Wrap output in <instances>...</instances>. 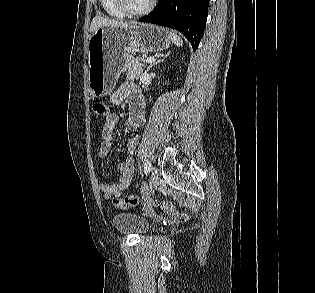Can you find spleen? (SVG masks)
Instances as JSON below:
<instances>
[{
	"label": "spleen",
	"instance_id": "obj_1",
	"mask_svg": "<svg viewBox=\"0 0 315 293\" xmlns=\"http://www.w3.org/2000/svg\"><path fill=\"white\" fill-rule=\"evenodd\" d=\"M169 36L172 40V43H174V45H176L178 47L183 45L182 39L174 31H170Z\"/></svg>",
	"mask_w": 315,
	"mask_h": 293
}]
</instances>
